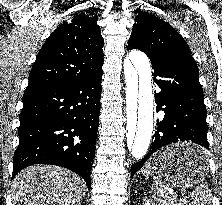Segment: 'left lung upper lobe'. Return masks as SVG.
I'll list each match as a JSON object with an SVG mask.
<instances>
[{
  "instance_id": "left-lung-upper-lobe-1",
  "label": "left lung upper lobe",
  "mask_w": 222,
  "mask_h": 205,
  "mask_svg": "<svg viewBox=\"0 0 222 205\" xmlns=\"http://www.w3.org/2000/svg\"><path fill=\"white\" fill-rule=\"evenodd\" d=\"M128 45L142 50L147 56L176 57L197 67L181 35L170 24L150 13L142 12L136 17Z\"/></svg>"
}]
</instances>
